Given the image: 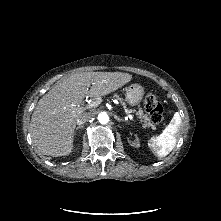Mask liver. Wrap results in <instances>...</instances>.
Wrapping results in <instances>:
<instances>
[{"label": "liver", "instance_id": "liver-1", "mask_svg": "<svg viewBox=\"0 0 221 221\" xmlns=\"http://www.w3.org/2000/svg\"><path fill=\"white\" fill-rule=\"evenodd\" d=\"M131 79V74L122 72H83L54 85L39 100L31 117L30 133L38 151L53 157L68 155L73 149L77 119L84 113L73 106H80L86 96L114 92Z\"/></svg>", "mask_w": 221, "mask_h": 221}]
</instances>
